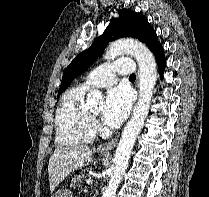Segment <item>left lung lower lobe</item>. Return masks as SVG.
I'll use <instances>...</instances> for the list:
<instances>
[{"instance_id": "1", "label": "left lung lower lobe", "mask_w": 209, "mask_h": 197, "mask_svg": "<svg viewBox=\"0 0 209 197\" xmlns=\"http://www.w3.org/2000/svg\"><path fill=\"white\" fill-rule=\"evenodd\" d=\"M153 53L156 56L159 71H160V77L162 78L164 68H165V57L163 52V47L161 44H159L157 47L154 48Z\"/></svg>"}]
</instances>
